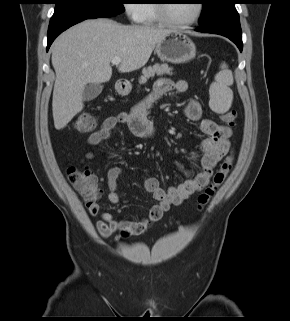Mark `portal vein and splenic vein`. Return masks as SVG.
Returning <instances> with one entry per match:
<instances>
[{
  "instance_id": "18ae733b",
  "label": "portal vein and splenic vein",
  "mask_w": 290,
  "mask_h": 321,
  "mask_svg": "<svg viewBox=\"0 0 290 321\" xmlns=\"http://www.w3.org/2000/svg\"><path fill=\"white\" fill-rule=\"evenodd\" d=\"M111 63H112L113 65H119V64L121 63V58H118V57L113 58V59L111 60Z\"/></svg>"
}]
</instances>
